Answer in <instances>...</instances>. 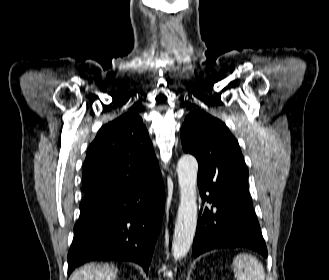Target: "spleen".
I'll return each mask as SVG.
<instances>
[{"mask_svg": "<svg viewBox=\"0 0 329 280\" xmlns=\"http://www.w3.org/2000/svg\"><path fill=\"white\" fill-rule=\"evenodd\" d=\"M236 280H265L262 264L249 254H240L233 260Z\"/></svg>", "mask_w": 329, "mask_h": 280, "instance_id": "1", "label": "spleen"}]
</instances>
